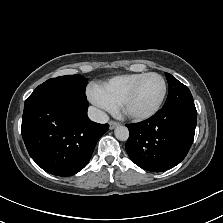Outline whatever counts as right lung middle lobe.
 Segmentation results:
<instances>
[{
    "label": "right lung middle lobe",
    "mask_w": 223,
    "mask_h": 223,
    "mask_svg": "<svg viewBox=\"0 0 223 223\" xmlns=\"http://www.w3.org/2000/svg\"><path fill=\"white\" fill-rule=\"evenodd\" d=\"M87 79L82 75H66L51 78L39 85L26 99L24 106L32 103L67 97L86 100L85 86Z\"/></svg>",
    "instance_id": "1"
}]
</instances>
